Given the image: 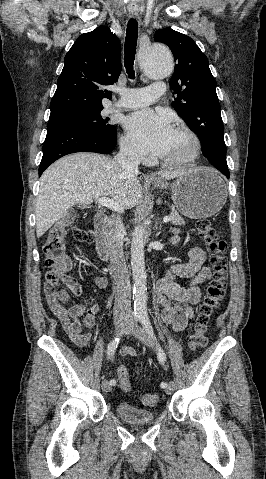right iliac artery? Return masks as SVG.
<instances>
[{
  "label": "right iliac artery",
  "instance_id": "82829eb1",
  "mask_svg": "<svg viewBox=\"0 0 266 479\" xmlns=\"http://www.w3.org/2000/svg\"><path fill=\"white\" fill-rule=\"evenodd\" d=\"M139 318H140V316L135 314V318H134L135 321H138ZM119 342H120V338L117 337V338H114V339L109 343L108 348H107V356H108V358L113 357V355H114V353H115V351H116V349H117V347H118ZM109 383H110L111 386H114V385L116 384V380H115V379H112V380H110Z\"/></svg>",
  "mask_w": 266,
  "mask_h": 479
}]
</instances>
